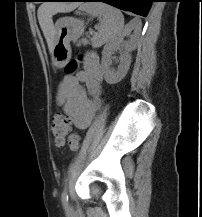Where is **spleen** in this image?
Here are the masks:
<instances>
[{
  "label": "spleen",
  "mask_w": 202,
  "mask_h": 217,
  "mask_svg": "<svg viewBox=\"0 0 202 217\" xmlns=\"http://www.w3.org/2000/svg\"><path fill=\"white\" fill-rule=\"evenodd\" d=\"M85 12L92 17H99L100 27L92 37V45L100 47L114 39L124 27V17L119 9L105 3H85L79 7V12Z\"/></svg>",
  "instance_id": "1"
}]
</instances>
